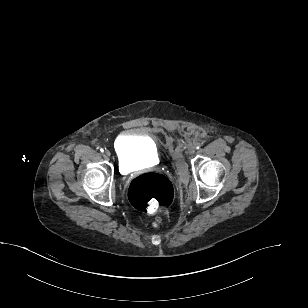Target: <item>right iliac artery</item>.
Instances as JSON below:
<instances>
[{
  "instance_id": "82829eb1",
  "label": "right iliac artery",
  "mask_w": 308,
  "mask_h": 308,
  "mask_svg": "<svg viewBox=\"0 0 308 308\" xmlns=\"http://www.w3.org/2000/svg\"><path fill=\"white\" fill-rule=\"evenodd\" d=\"M100 151H101V152H104V149L101 148Z\"/></svg>"
}]
</instances>
